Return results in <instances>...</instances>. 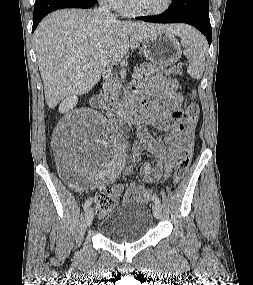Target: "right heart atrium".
<instances>
[{
    "label": "right heart atrium",
    "instance_id": "obj_1",
    "mask_svg": "<svg viewBox=\"0 0 253 285\" xmlns=\"http://www.w3.org/2000/svg\"><path fill=\"white\" fill-rule=\"evenodd\" d=\"M102 4L112 10H119L124 5V0H100Z\"/></svg>",
    "mask_w": 253,
    "mask_h": 285
}]
</instances>
